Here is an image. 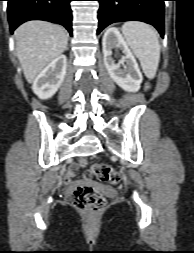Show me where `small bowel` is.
I'll use <instances>...</instances> for the list:
<instances>
[{"label":"small bowel","instance_id":"small-bowel-1","mask_svg":"<svg viewBox=\"0 0 194 253\" xmlns=\"http://www.w3.org/2000/svg\"><path fill=\"white\" fill-rule=\"evenodd\" d=\"M76 173L74 169L67 171L64 177V182L67 187L71 188L73 186V178L75 177Z\"/></svg>","mask_w":194,"mask_h":253}]
</instances>
